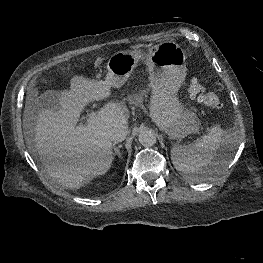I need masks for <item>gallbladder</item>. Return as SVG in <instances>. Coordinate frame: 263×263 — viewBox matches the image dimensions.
<instances>
[{"instance_id": "gallbladder-1", "label": "gallbladder", "mask_w": 263, "mask_h": 263, "mask_svg": "<svg viewBox=\"0 0 263 263\" xmlns=\"http://www.w3.org/2000/svg\"><path fill=\"white\" fill-rule=\"evenodd\" d=\"M40 107L42 109H50L57 111L60 108L59 98L55 92H47L40 98Z\"/></svg>"}]
</instances>
